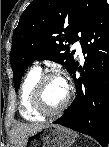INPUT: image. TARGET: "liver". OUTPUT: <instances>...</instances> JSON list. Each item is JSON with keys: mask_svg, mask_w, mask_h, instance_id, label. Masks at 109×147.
I'll list each match as a JSON object with an SVG mask.
<instances>
[{"mask_svg": "<svg viewBox=\"0 0 109 147\" xmlns=\"http://www.w3.org/2000/svg\"><path fill=\"white\" fill-rule=\"evenodd\" d=\"M47 124H39V123H32V124H17L11 132V147H25L26 146V139L29 135L41 130Z\"/></svg>", "mask_w": 109, "mask_h": 147, "instance_id": "1", "label": "liver"}]
</instances>
